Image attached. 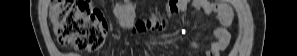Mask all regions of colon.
<instances>
[{
    "label": "colon",
    "instance_id": "1",
    "mask_svg": "<svg viewBox=\"0 0 297 56\" xmlns=\"http://www.w3.org/2000/svg\"><path fill=\"white\" fill-rule=\"evenodd\" d=\"M51 21L58 42L80 52H94L106 41L107 22L102 12L90 1H54Z\"/></svg>",
    "mask_w": 297,
    "mask_h": 56
}]
</instances>
